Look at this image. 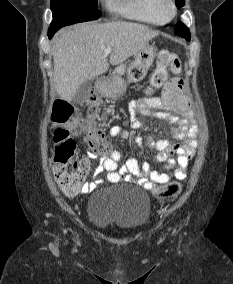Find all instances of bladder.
I'll use <instances>...</instances> for the list:
<instances>
[{
  "label": "bladder",
  "instance_id": "obj_1",
  "mask_svg": "<svg viewBox=\"0 0 233 284\" xmlns=\"http://www.w3.org/2000/svg\"><path fill=\"white\" fill-rule=\"evenodd\" d=\"M86 213L94 226L132 232L148 223L151 200L146 191L132 185L102 189L88 198Z\"/></svg>",
  "mask_w": 233,
  "mask_h": 284
}]
</instances>
